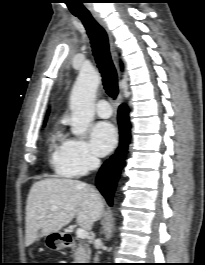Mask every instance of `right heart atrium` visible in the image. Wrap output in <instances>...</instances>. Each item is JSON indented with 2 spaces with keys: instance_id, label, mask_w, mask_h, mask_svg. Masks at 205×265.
Here are the masks:
<instances>
[{
  "instance_id": "obj_1",
  "label": "right heart atrium",
  "mask_w": 205,
  "mask_h": 265,
  "mask_svg": "<svg viewBox=\"0 0 205 265\" xmlns=\"http://www.w3.org/2000/svg\"><path fill=\"white\" fill-rule=\"evenodd\" d=\"M98 165L89 144L82 138L64 141L61 168L71 176H83Z\"/></svg>"
}]
</instances>
